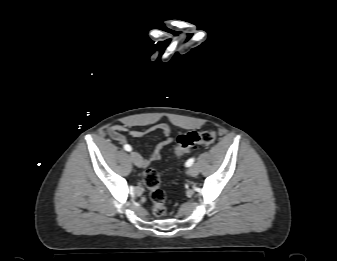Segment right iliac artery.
<instances>
[{"mask_svg":"<svg viewBox=\"0 0 337 261\" xmlns=\"http://www.w3.org/2000/svg\"><path fill=\"white\" fill-rule=\"evenodd\" d=\"M124 149L126 150V151H131L132 150V148H131V146L130 145H124Z\"/></svg>","mask_w":337,"mask_h":261,"instance_id":"82829eb1","label":"right iliac artery"}]
</instances>
